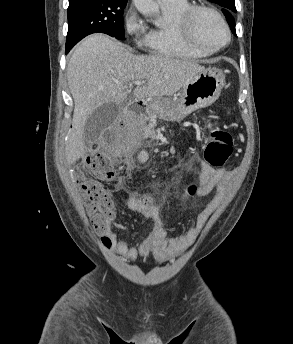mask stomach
<instances>
[{
    "instance_id": "obj_1",
    "label": "stomach",
    "mask_w": 293,
    "mask_h": 344,
    "mask_svg": "<svg viewBox=\"0 0 293 344\" xmlns=\"http://www.w3.org/2000/svg\"><path fill=\"white\" fill-rule=\"evenodd\" d=\"M224 84L222 71L209 67L196 74L177 96L145 100L142 104L150 115L165 121H178L191 112L214 103Z\"/></svg>"
}]
</instances>
